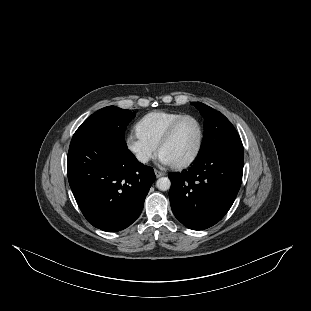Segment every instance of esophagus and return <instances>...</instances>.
I'll return each instance as SVG.
<instances>
[{
  "label": "esophagus",
  "mask_w": 311,
  "mask_h": 311,
  "mask_svg": "<svg viewBox=\"0 0 311 311\" xmlns=\"http://www.w3.org/2000/svg\"><path fill=\"white\" fill-rule=\"evenodd\" d=\"M154 173H155V175H156V178H159V177L165 175L164 172H161V171H159V170H157V169H154Z\"/></svg>",
  "instance_id": "1"
}]
</instances>
